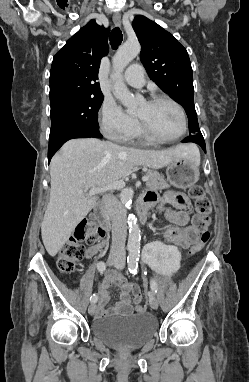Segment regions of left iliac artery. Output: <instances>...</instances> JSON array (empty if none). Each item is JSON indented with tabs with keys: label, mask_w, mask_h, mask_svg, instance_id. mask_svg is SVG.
<instances>
[{
	"label": "left iliac artery",
	"mask_w": 249,
	"mask_h": 382,
	"mask_svg": "<svg viewBox=\"0 0 249 382\" xmlns=\"http://www.w3.org/2000/svg\"><path fill=\"white\" fill-rule=\"evenodd\" d=\"M139 252L133 251L127 258L129 271L133 274L137 273ZM150 287L154 293H157V283L154 279L150 280Z\"/></svg>",
	"instance_id": "44dca946"
}]
</instances>
